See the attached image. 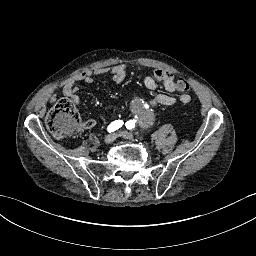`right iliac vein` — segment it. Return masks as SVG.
I'll return each mask as SVG.
<instances>
[{"label":"right iliac vein","mask_w":256,"mask_h":256,"mask_svg":"<svg viewBox=\"0 0 256 256\" xmlns=\"http://www.w3.org/2000/svg\"><path fill=\"white\" fill-rule=\"evenodd\" d=\"M116 139V135L115 134H108L105 139H104V143L105 144H111L112 142H114Z\"/></svg>","instance_id":"obj_1"}]
</instances>
